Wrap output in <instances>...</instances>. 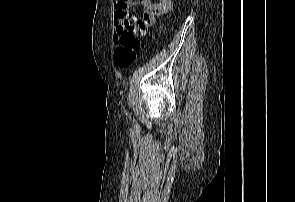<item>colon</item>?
I'll return each instance as SVG.
<instances>
[{"label":"colon","instance_id":"obj_1","mask_svg":"<svg viewBox=\"0 0 295 202\" xmlns=\"http://www.w3.org/2000/svg\"><path fill=\"white\" fill-rule=\"evenodd\" d=\"M139 30L129 26L119 36V46L114 52V62L119 68L130 67L136 59V51L140 48Z\"/></svg>","mask_w":295,"mask_h":202}]
</instances>
